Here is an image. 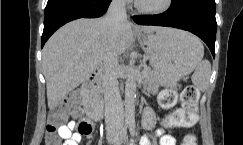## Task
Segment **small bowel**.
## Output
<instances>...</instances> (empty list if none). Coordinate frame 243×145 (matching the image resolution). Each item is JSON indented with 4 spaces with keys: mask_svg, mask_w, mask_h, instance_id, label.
Here are the masks:
<instances>
[{
    "mask_svg": "<svg viewBox=\"0 0 243 145\" xmlns=\"http://www.w3.org/2000/svg\"><path fill=\"white\" fill-rule=\"evenodd\" d=\"M72 117L74 120L70 121L68 124L61 126L58 131L59 136L64 139L62 145H78L81 140V133L73 132V129L76 127V122H78V118L76 114H73ZM155 124V114L151 109L147 108L144 111L142 126L144 129L150 130L155 127ZM91 132L86 134V136H91ZM155 135L159 137L160 145H176L175 138L170 134L164 133L161 128L155 130ZM139 141L140 145H151L150 140L147 136H142Z\"/></svg>",
    "mask_w": 243,
    "mask_h": 145,
    "instance_id": "1",
    "label": "small bowel"
}]
</instances>
